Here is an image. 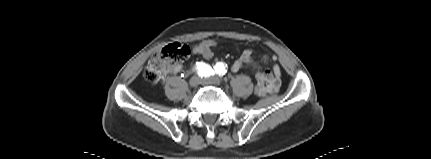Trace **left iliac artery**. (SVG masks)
<instances>
[{"label":"left iliac artery","instance_id":"1","mask_svg":"<svg viewBox=\"0 0 431 159\" xmlns=\"http://www.w3.org/2000/svg\"><path fill=\"white\" fill-rule=\"evenodd\" d=\"M227 72L225 64L222 62L216 63L214 66L213 74L216 73L219 76H223Z\"/></svg>","mask_w":431,"mask_h":159}]
</instances>
